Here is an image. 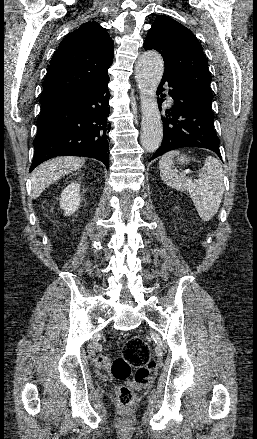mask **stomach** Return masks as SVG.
<instances>
[{"label": "stomach", "instance_id": "obj_1", "mask_svg": "<svg viewBox=\"0 0 257 439\" xmlns=\"http://www.w3.org/2000/svg\"><path fill=\"white\" fill-rule=\"evenodd\" d=\"M189 161H190L189 157H187L185 154H182V155L177 157V162H179L180 164H184V163H187Z\"/></svg>", "mask_w": 257, "mask_h": 439}]
</instances>
